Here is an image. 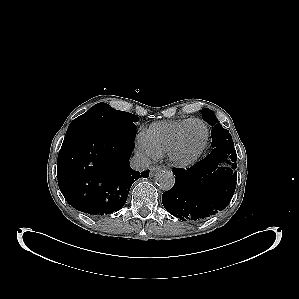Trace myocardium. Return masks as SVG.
Masks as SVG:
<instances>
[{"label":"myocardium","instance_id":"1","mask_svg":"<svg viewBox=\"0 0 299 299\" xmlns=\"http://www.w3.org/2000/svg\"><path fill=\"white\" fill-rule=\"evenodd\" d=\"M194 122H199L204 126V128H205L204 141L201 144V146L193 154H191L188 157H180V156H178V150L181 145L183 135H184L187 127ZM208 140H209V127H208L207 123L202 119L192 118V119L188 120L177 132L175 138L173 139L172 143L170 144V146L168 147V149L166 151L167 157L174 165H176L178 167H188V166L192 165L193 163H195L200 158V156L203 154V152L205 151V149L207 147Z\"/></svg>","mask_w":299,"mask_h":299}]
</instances>
